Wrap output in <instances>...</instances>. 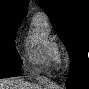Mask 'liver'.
Returning a JSON list of instances; mask_svg holds the SVG:
<instances>
[{
    "mask_svg": "<svg viewBox=\"0 0 89 89\" xmlns=\"http://www.w3.org/2000/svg\"><path fill=\"white\" fill-rule=\"evenodd\" d=\"M1 87H4L3 89H41L40 86L24 83L23 85H19L17 83L10 82L8 80L1 82Z\"/></svg>",
    "mask_w": 89,
    "mask_h": 89,
    "instance_id": "1",
    "label": "liver"
}]
</instances>
